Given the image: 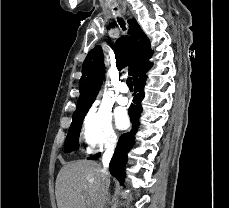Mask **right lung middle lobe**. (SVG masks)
I'll return each mask as SVG.
<instances>
[{
    "label": "right lung middle lobe",
    "mask_w": 229,
    "mask_h": 208,
    "mask_svg": "<svg viewBox=\"0 0 229 208\" xmlns=\"http://www.w3.org/2000/svg\"><path fill=\"white\" fill-rule=\"evenodd\" d=\"M83 119L84 118L72 121L65 141V152H70L78 149V139Z\"/></svg>",
    "instance_id": "dd1d6c3e"
}]
</instances>
